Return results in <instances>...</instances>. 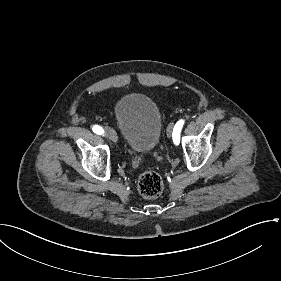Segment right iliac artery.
<instances>
[{"label":"right iliac artery","instance_id":"1","mask_svg":"<svg viewBox=\"0 0 281 281\" xmlns=\"http://www.w3.org/2000/svg\"><path fill=\"white\" fill-rule=\"evenodd\" d=\"M92 129L96 134H99V135L103 134V132H104L103 129L98 125L93 126Z\"/></svg>","mask_w":281,"mask_h":281}]
</instances>
